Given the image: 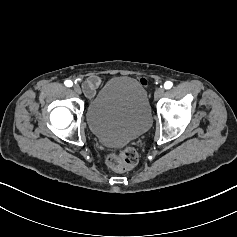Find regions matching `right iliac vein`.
Here are the masks:
<instances>
[{"label":"right iliac vein","instance_id":"obj_1","mask_svg":"<svg viewBox=\"0 0 237 237\" xmlns=\"http://www.w3.org/2000/svg\"><path fill=\"white\" fill-rule=\"evenodd\" d=\"M73 90L79 95L82 93L81 88L78 85H74Z\"/></svg>","mask_w":237,"mask_h":237}]
</instances>
